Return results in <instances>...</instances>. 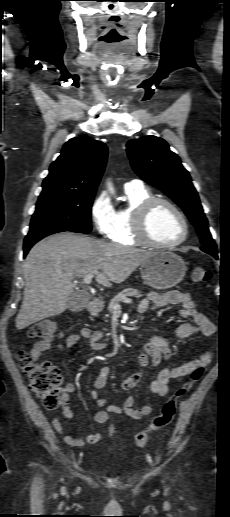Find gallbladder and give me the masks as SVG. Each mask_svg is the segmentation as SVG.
<instances>
[{
	"label": "gallbladder",
	"mask_w": 230,
	"mask_h": 517,
	"mask_svg": "<svg viewBox=\"0 0 230 517\" xmlns=\"http://www.w3.org/2000/svg\"><path fill=\"white\" fill-rule=\"evenodd\" d=\"M89 297L86 293L81 291H75L73 294L69 297L68 300V308L71 311H81L84 306L86 305Z\"/></svg>",
	"instance_id": "obj_1"
}]
</instances>
